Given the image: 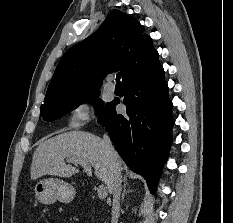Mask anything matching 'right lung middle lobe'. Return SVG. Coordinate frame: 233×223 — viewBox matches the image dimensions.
<instances>
[{
    "instance_id": "dd1d6c3e",
    "label": "right lung middle lobe",
    "mask_w": 233,
    "mask_h": 223,
    "mask_svg": "<svg viewBox=\"0 0 233 223\" xmlns=\"http://www.w3.org/2000/svg\"><path fill=\"white\" fill-rule=\"evenodd\" d=\"M99 94V88H96L68 96L58 102L41 106V114L45 121H54L88 101L94 105L96 115H98L104 108L103 102L98 98Z\"/></svg>"
}]
</instances>
